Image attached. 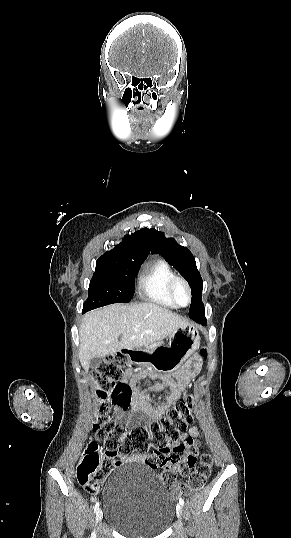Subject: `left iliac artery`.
Returning a JSON list of instances; mask_svg holds the SVG:
<instances>
[{
	"label": "left iliac artery",
	"mask_w": 291,
	"mask_h": 538,
	"mask_svg": "<svg viewBox=\"0 0 291 538\" xmlns=\"http://www.w3.org/2000/svg\"><path fill=\"white\" fill-rule=\"evenodd\" d=\"M179 504H180L181 506L184 505V500H183L182 498H179Z\"/></svg>",
	"instance_id": "obj_1"
}]
</instances>
